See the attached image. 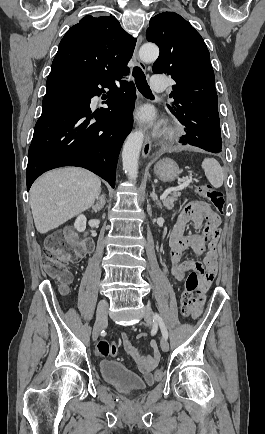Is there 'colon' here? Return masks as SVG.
<instances>
[{"mask_svg": "<svg viewBox=\"0 0 265 434\" xmlns=\"http://www.w3.org/2000/svg\"><path fill=\"white\" fill-rule=\"evenodd\" d=\"M200 193L217 212L221 213L224 211L225 199L220 191L206 184L200 188ZM78 258L79 254L73 249L71 244L61 234H55L46 243L42 262L43 273L47 277L56 278L62 292H66L72 281V273L67 268V265L75 263ZM189 271L190 273L185 278V289L181 295L182 314L185 318L191 317L190 303L193 300L192 296L195 293V287L198 286L199 280H202L194 270ZM96 353L98 356L106 358L110 355H118L119 349L114 343L108 340H101L96 346ZM162 375L163 369H156L155 376L158 378Z\"/></svg>", "mask_w": 265, "mask_h": 434, "instance_id": "5ec220e1", "label": "colon"}]
</instances>
